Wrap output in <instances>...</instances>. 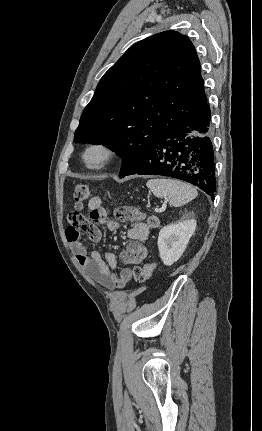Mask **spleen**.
Returning <instances> with one entry per match:
<instances>
[{"mask_svg":"<svg viewBox=\"0 0 262 431\" xmlns=\"http://www.w3.org/2000/svg\"><path fill=\"white\" fill-rule=\"evenodd\" d=\"M158 198H168L172 206H182L197 197V190L190 184L167 178H154L146 183Z\"/></svg>","mask_w":262,"mask_h":431,"instance_id":"1","label":"spleen"}]
</instances>
